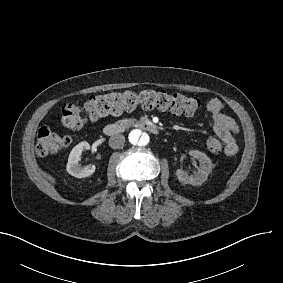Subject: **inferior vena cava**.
Segmentation results:
<instances>
[{"instance_id":"inferior-vena-cava-1","label":"inferior vena cava","mask_w":283,"mask_h":283,"mask_svg":"<svg viewBox=\"0 0 283 283\" xmlns=\"http://www.w3.org/2000/svg\"><path fill=\"white\" fill-rule=\"evenodd\" d=\"M125 143V137L121 134H116L110 137L109 146L113 149H120Z\"/></svg>"}]
</instances>
